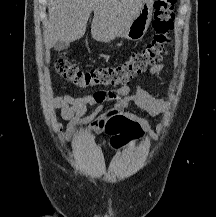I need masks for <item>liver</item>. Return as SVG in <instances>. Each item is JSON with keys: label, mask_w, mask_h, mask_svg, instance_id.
<instances>
[{"label": "liver", "mask_w": 216, "mask_h": 217, "mask_svg": "<svg viewBox=\"0 0 216 217\" xmlns=\"http://www.w3.org/2000/svg\"><path fill=\"white\" fill-rule=\"evenodd\" d=\"M143 0H48L49 18L44 32L45 45L71 42L83 37L92 11L91 34L108 43L118 37L135 17Z\"/></svg>", "instance_id": "1"}]
</instances>
